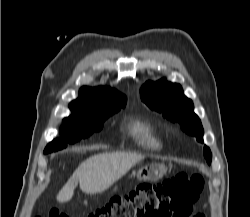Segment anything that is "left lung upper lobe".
Returning a JSON list of instances; mask_svg holds the SVG:
<instances>
[{"mask_svg":"<svg viewBox=\"0 0 250 217\" xmlns=\"http://www.w3.org/2000/svg\"><path fill=\"white\" fill-rule=\"evenodd\" d=\"M140 93L142 101L149 108L162 113L164 118L172 122H179L183 131L203 143L201 121L193 111L192 101L184 96L179 84L167 82L165 79L148 81L141 87ZM203 153L210 164L212 154L207 146H204Z\"/></svg>","mask_w":250,"mask_h":217,"instance_id":"left-lung-upper-lobe-1","label":"left lung upper lobe"}]
</instances>
